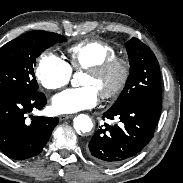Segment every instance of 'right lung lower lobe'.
Returning <instances> with one entry per match:
<instances>
[{"label":"right lung lower lobe","instance_id":"1","mask_svg":"<svg viewBox=\"0 0 183 183\" xmlns=\"http://www.w3.org/2000/svg\"><path fill=\"white\" fill-rule=\"evenodd\" d=\"M46 102L39 91L0 92V150L6 156L23 160L42 151L59 119L37 116L30 124L25 120L27 113L43 109Z\"/></svg>","mask_w":183,"mask_h":183}]
</instances>
